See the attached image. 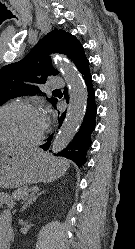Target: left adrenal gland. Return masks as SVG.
Here are the masks:
<instances>
[{
  "label": "left adrenal gland",
  "instance_id": "1",
  "mask_svg": "<svg viewBox=\"0 0 135 249\" xmlns=\"http://www.w3.org/2000/svg\"><path fill=\"white\" fill-rule=\"evenodd\" d=\"M45 191H41L39 192V189H37L35 191V193H32L29 198H27V200L25 201V204L22 206L21 208V212H23L30 204H32L33 202H36V200L38 199L39 196H41L42 194H44Z\"/></svg>",
  "mask_w": 135,
  "mask_h": 249
}]
</instances>
